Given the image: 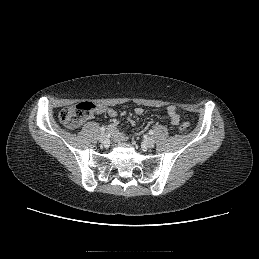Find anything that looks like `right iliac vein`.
I'll list each match as a JSON object with an SVG mask.
<instances>
[{
	"mask_svg": "<svg viewBox=\"0 0 259 259\" xmlns=\"http://www.w3.org/2000/svg\"><path fill=\"white\" fill-rule=\"evenodd\" d=\"M99 141H100V143H102L104 145H106L109 142L108 137H107V135L105 133H102L99 136Z\"/></svg>",
	"mask_w": 259,
	"mask_h": 259,
	"instance_id": "obj_1",
	"label": "right iliac vein"
}]
</instances>
